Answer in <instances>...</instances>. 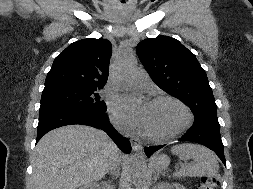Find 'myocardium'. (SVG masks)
Returning a JSON list of instances; mask_svg holds the SVG:
<instances>
[{"mask_svg":"<svg viewBox=\"0 0 253 189\" xmlns=\"http://www.w3.org/2000/svg\"><path fill=\"white\" fill-rule=\"evenodd\" d=\"M162 101L170 102V103L176 105L178 108H180L184 114V119L179 127H177L174 131H172L168 134H165V135H157V134H153L151 132L144 130L143 131L144 136L147 139L152 140V141L164 142V141L171 140V139L179 136L183 132H185L191 126V124L193 122V115H192L191 110L181 100H179L176 97H173L171 95L162 94V95L155 96L152 99L151 103H158V102H162Z\"/></svg>","mask_w":253,"mask_h":189,"instance_id":"1","label":"myocardium"}]
</instances>
